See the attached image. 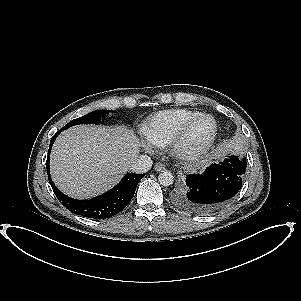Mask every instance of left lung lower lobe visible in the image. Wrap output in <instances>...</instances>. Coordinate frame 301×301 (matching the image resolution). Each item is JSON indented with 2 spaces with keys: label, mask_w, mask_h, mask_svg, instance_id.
<instances>
[{
  "label": "left lung lower lobe",
  "mask_w": 301,
  "mask_h": 301,
  "mask_svg": "<svg viewBox=\"0 0 301 301\" xmlns=\"http://www.w3.org/2000/svg\"><path fill=\"white\" fill-rule=\"evenodd\" d=\"M246 160L231 155L203 173L187 175L175 194L176 205L195 214H210L234 200L241 189Z\"/></svg>",
  "instance_id": "0a47b994"
}]
</instances>
